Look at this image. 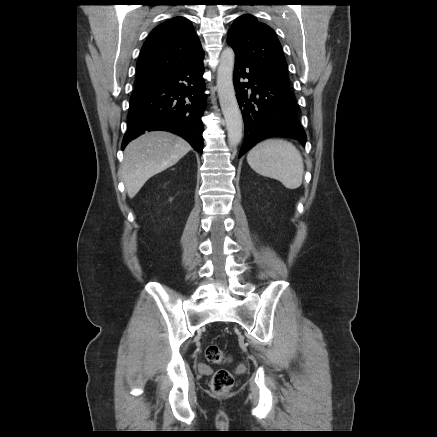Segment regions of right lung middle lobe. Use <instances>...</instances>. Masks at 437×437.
<instances>
[{
    "label": "right lung middle lobe",
    "instance_id": "1",
    "mask_svg": "<svg viewBox=\"0 0 437 437\" xmlns=\"http://www.w3.org/2000/svg\"><path fill=\"white\" fill-rule=\"evenodd\" d=\"M149 84L150 83H148V82L137 83L136 86H135V90L142 89V88L148 86Z\"/></svg>",
    "mask_w": 437,
    "mask_h": 437
}]
</instances>
